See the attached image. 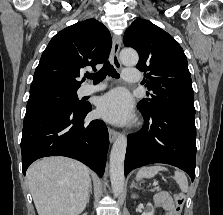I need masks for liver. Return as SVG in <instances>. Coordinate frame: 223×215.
<instances>
[{
  "instance_id": "1",
  "label": "liver",
  "mask_w": 223,
  "mask_h": 215,
  "mask_svg": "<svg viewBox=\"0 0 223 215\" xmlns=\"http://www.w3.org/2000/svg\"><path fill=\"white\" fill-rule=\"evenodd\" d=\"M39 215H78L87 203L89 167L69 157H43L26 171Z\"/></svg>"
}]
</instances>
